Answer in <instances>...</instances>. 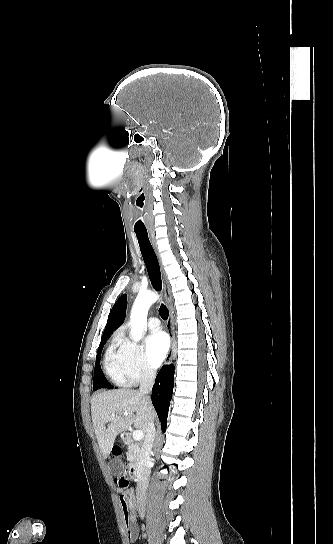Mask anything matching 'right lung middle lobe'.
I'll return each mask as SVG.
<instances>
[{
  "mask_svg": "<svg viewBox=\"0 0 333 544\" xmlns=\"http://www.w3.org/2000/svg\"><path fill=\"white\" fill-rule=\"evenodd\" d=\"M108 338L101 339V343L98 348L97 357H96V366L94 369V380H93V390H98L100 388H113L110 383L106 380L103 375L102 370L100 369V357L103 346Z\"/></svg>",
  "mask_w": 333,
  "mask_h": 544,
  "instance_id": "1",
  "label": "right lung middle lobe"
}]
</instances>
